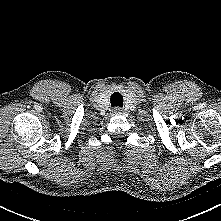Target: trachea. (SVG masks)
Segmentation results:
<instances>
[{"label": "trachea", "instance_id": "1", "mask_svg": "<svg viewBox=\"0 0 221 221\" xmlns=\"http://www.w3.org/2000/svg\"><path fill=\"white\" fill-rule=\"evenodd\" d=\"M122 95L120 93H114L111 96V106L115 107V106H119L122 107L123 102H122Z\"/></svg>", "mask_w": 221, "mask_h": 221}]
</instances>
